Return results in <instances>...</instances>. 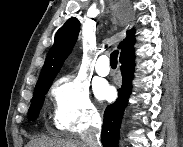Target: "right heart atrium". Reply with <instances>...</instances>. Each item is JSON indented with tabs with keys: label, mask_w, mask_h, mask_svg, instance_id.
<instances>
[{
	"label": "right heart atrium",
	"mask_w": 183,
	"mask_h": 147,
	"mask_svg": "<svg viewBox=\"0 0 183 147\" xmlns=\"http://www.w3.org/2000/svg\"><path fill=\"white\" fill-rule=\"evenodd\" d=\"M53 121L57 128L83 132L99 122V111L90 98L87 84L73 75L57 80L51 88Z\"/></svg>",
	"instance_id": "obj_1"
}]
</instances>
